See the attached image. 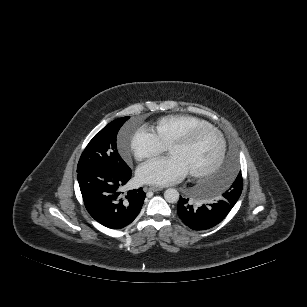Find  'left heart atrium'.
I'll use <instances>...</instances> for the list:
<instances>
[{"label":"left heart atrium","instance_id":"left-heart-atrium-1","mask_svg":"<svg viewBox=\"0 0 307 307\" xmlns=\"http://www.w3.org/2000/svg\"><path fill=\"white\" fill-rule=\"evenodd\" d=\"M188 172L179 158L170 155L140 165L137 169V179L141 183L164 186L180 181Z\"/></svg>","mask_w":307,"mask_h":307}]
</instances>
